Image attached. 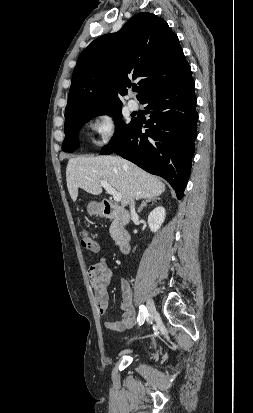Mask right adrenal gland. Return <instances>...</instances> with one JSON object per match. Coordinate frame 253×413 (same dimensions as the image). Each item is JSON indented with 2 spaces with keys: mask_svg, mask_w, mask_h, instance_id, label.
<instances>
[{
  "mask_svg": "<svg viewBox=\"0 0 253 413\" xmlns=\"http://www.w3.org/2000/svg\"><path fill=\"white\" fill-rule=\"evenodd\" d=\"M157 200H160V198H149V199L144 200L142 204L140 205V207L138 208V213H141L143 208L146 207L148 203L156 202Z\"/></svg>",
  "mask_w": 253,
  "mask_h": 413,
  "instance_id": "2a0ac1e0",
  "label": "right adrenal gland"
}]
</instances>
